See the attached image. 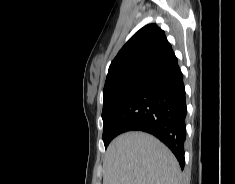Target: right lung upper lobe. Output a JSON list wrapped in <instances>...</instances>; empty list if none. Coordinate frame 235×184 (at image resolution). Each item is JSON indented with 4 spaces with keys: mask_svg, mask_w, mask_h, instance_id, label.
Here are the masks:
<instances>
[{
    "mask_svg": "<svg viewBox=\"0 0 235 184\" xmlns=\"http://www.w3.org/2000/svg\"><path fill=\"white\" fill-rule=\"evenodd\" d=\"M174 52L156 24L144 26L121 48L112 61L103 94L133 77L146 76Z\"/></svg>",
    "mask_w": 235,
    "mask_h": 184,
    "instance_id": "obj_1",
    "label": "right lung upper lobe"
}]
</instances>
